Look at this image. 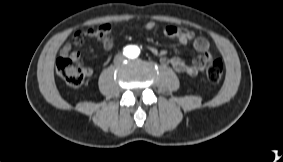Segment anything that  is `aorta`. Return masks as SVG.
<instances>
[{"mask_svg":"<svg viewBox=\"0 0 283 162\" xmlns=\"http://www.w3.org/2000/svg\"><path fill=\"white\" fill-rule=\"evenodd\" d=\"M129 50H130V53H131L132 57H135V56L138 55V49L136 47L132 46V47L129 48Z\"/></svg>","mask_w":283,"mask_h":162,"instance_id":"762f6f07","label":"aorta"}]
</instances>
